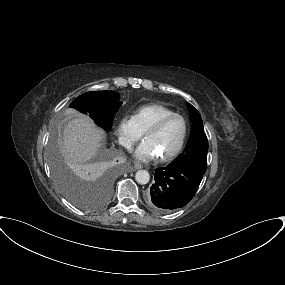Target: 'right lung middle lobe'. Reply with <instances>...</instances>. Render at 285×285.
Instances as JSON below:
<instances>
[{"mask_svg": "<svg viewBox=\"0 0 285 285\" xmlns=\"http://www.w3.org/2000/svg\"><path fill=\"white\" fill-rule=\"evenodd\" d=\"M118 93L114 91H92L78 96L72 101L70 107L80 112L88 113L95 123L109 131L114 116L122 102L118 101ZM51 163L55 180L64 196L81 209L93 210L100 207L110 195L111 174L107 169L98 172L97 182L100 186L101 198L93 201L88 198L79 185L78 180L66 169L57 157L56 145L53 142L51 150Z\"/></svg>", "mask_w": 285, "mask_h": 285, "instance_id": "right-lung-middle-lobe-1", "label": "right lung middle lobe"}]
</instances>
